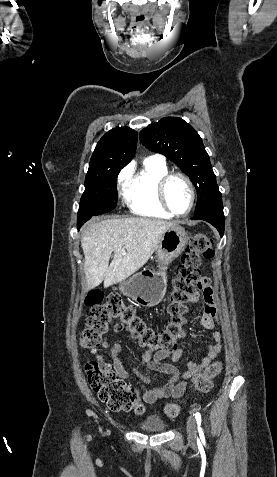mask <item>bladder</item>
Returning <instances> with one entry per match:
<instances>
[{
	"instance_id": "31cf9c89",
	"label": "bladder",
	"mask_w": 277,
	"mask_h": 477,
	"mask_svg": "<svg viewBox=\"0 0 277 477\" xmlns=\"http://www.w3.org/2000/svg\"><path fill=\"white\" fill-rule=\"evenodd\" d=\"M139 428L146 432L159 433L166 429L165 422L158 416H150L139 424Z\"/></svg>"
}]
</instances>
